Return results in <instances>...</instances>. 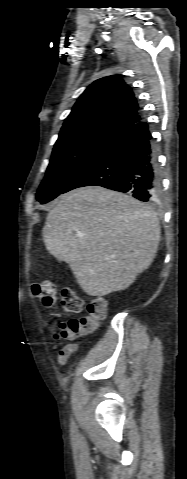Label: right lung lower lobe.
<instances>
[{"instance_id":"1","label":"right lung lower lobe","mask_w":187,"mask_h":479,"mask_svg":"<svg viewBox=\"0 0 187 479\" xmlns=\"http://www.w3.org/2000/svg\"><path fill=\"white\" fill-rule=\"evenodd\" d=\"M129 192L141 201H154L162 189L152 136L140 120L105 152L78 173L62 193L83 186Z\"/></svg>"}]
</instances>
